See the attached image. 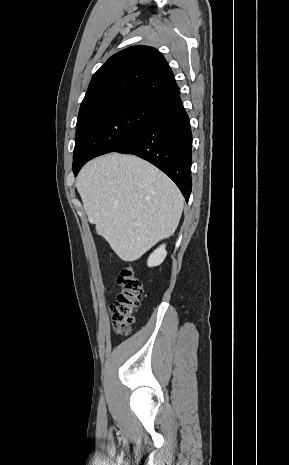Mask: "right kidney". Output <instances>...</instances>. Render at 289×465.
<instances>
[{
  "label": "right kidney",
  "instance_id": "ca27d5eb",
  "mask_svg": "<svg viewBox=\"0 0 289 465\" xmlns=\"http://www.w3.org/2000/svg\"><path fill=\"white\" fill-rule=\"evenodd\" d=\"M167 255L165 245H161L159 248H157L148 258V266L153 267V266H158L160 265L165 257Z\"/></svg>",
  "mask_w": 289,
  "mask_h": 465
}]
</instances>
